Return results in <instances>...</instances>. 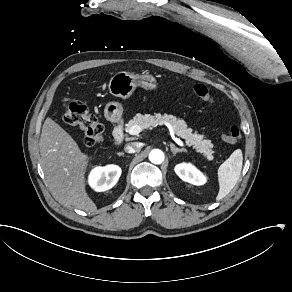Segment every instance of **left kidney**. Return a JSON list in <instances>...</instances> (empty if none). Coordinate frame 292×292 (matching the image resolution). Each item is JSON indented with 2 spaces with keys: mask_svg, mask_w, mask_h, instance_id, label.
<instances>
[{
  "mask_svg": "<svg viewBox=\"0 0 292 292\" xmlns=\"http://www.w3.org/2000/svg\"><path fill=\"white\" fill-rule=\"evenodd\" d=\"M175 172L182 180L194 185L205 183V178L191 165L180 164L175 168Z\"/></svg>",
  "mask_w": 292,
  "mask_h": 292,
  "instance_id": "1",
  "label": "left kidney"
}]
</instances>
